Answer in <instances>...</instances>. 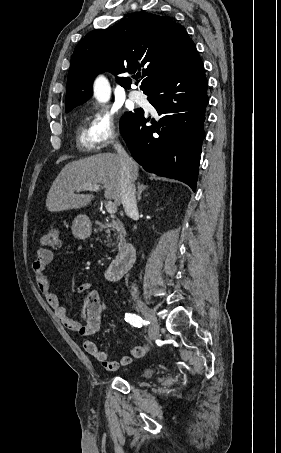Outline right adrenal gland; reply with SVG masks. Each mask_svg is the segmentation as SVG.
I'll return each mask as SVG.
<instances>
[{
	"mask_svg": "<svg viewBox=\"0 0 281 453\" xmlns=\"http://www.w3.org/2000/svg\"><path fill=\"white\" fill-rule=\"evenodd\" d=\"M137 202H141V194L145 188H147V184H141V182H137Z\"/></svg>",
	"mask_w": 281,
	"mask_h": 453,
	"instance_id": "right-adrenal-gland-1",
	"label": "right adrenal gland"
}]
</instances>
